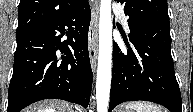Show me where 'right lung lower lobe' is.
<instances>
[{
	"label": "right lung lower lobe",
	"mask_w": 193,
	"mask_h": 112,
	"mask_svg": "<svg viewBox=\"0 0 193 112\" xmlns=\"http://www.w3.org/2000/svg\"><path fill=\"white\" fill-rule=\"evenodd\" d=\"M90 17L85 0L66 15L17 37L7 112H20L49 98L88 106L93 79L88 53ZM63 35L68 39L61 42Z\"/></svg>",
	"instance_id": "98d812e1"
}]
</instances>
